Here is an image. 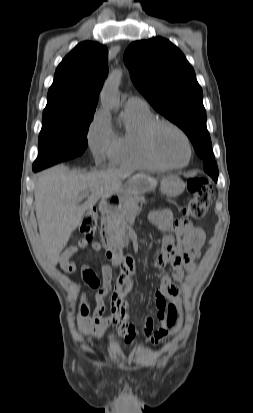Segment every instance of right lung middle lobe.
<instances>
[{
    "label": "right lung middle lobe",
    "instance_id": "right-lung-middle-lobe-1",
    "mask_svg": "<svg viewBox=\"0 0 253 413\" xmlns=\"http://www.w3.org/2000/svg\"><path fill=\"white\" fill-rule=\"evenodd\" d=\"M93 114L43 115L39 153L33 169L42 170L83 154Z\"/></svg>",
    "mask_w": 253,
    "mask_h": 413
}]
</instances>
